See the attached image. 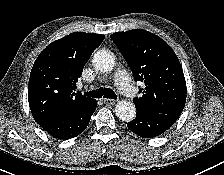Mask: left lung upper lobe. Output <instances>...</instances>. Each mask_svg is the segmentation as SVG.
Returning a JSON list of instances; mask_svg holds the SVG:
<instances>
[{
	"label": "left lung upper lobe",
	"instance_id": "1",
	"mask_svg": "<svg viewBox=\"0 0 224 175\" xmlns=\"http://www.w3.org/2000/svg\"><path fill=\"white\" fill-rule=\"evenodd\" d=\"M111 38L120 49L135 81L145 84L136 110L178 118L186 101V82L181 64L171 47L158 36L141 30L117 32Z\"/></svg>",
	"mask_w": 224,
	"mask_h": 175
}]
</instances>
